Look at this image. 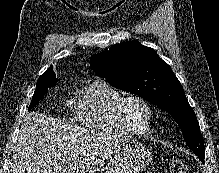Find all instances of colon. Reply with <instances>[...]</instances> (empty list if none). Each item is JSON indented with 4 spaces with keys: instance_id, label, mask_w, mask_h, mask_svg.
<instances>
[{
    "instance_id": "obj_1",
    "label": "colon",
    "mask_w": 219,
    "mask_h": 173,
    "mask_svg": "<svg viewBox=\"0 0 219 173\" xmlns=\"http://www.w3.org/2000/svg\"><path fill=\"white\" fill-rule=\"evenodd\" d=\"M170 171L171 173H188V166L183 160L175 159L170 163Z\"/></svg>"
}]
</instances>
